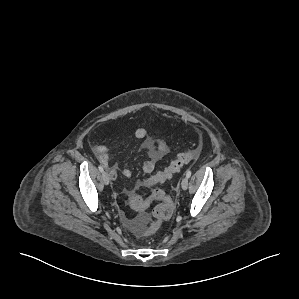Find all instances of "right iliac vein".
<instances>
[{
	"label": "right iliac vein",
	"mask_w": 299,
	"mask_h": 299,
	"mask_svg": "<svg viewBox=\"0 0 299 299\" xmlns=\"http://www.w3.org/2000/svg\"><path fill=\"white\" fill-rule=\"evenodd\" d=\"M102 179L106 185H108L110 183V177L106 172L102 173Z\"/></svg>",
	"instance_id": "63e3f726"
}]
</instances>
